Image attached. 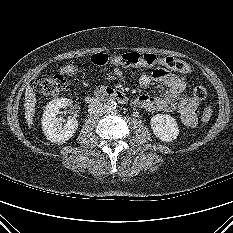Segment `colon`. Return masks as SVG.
I'll return each mask as SVG.
<instances>
[{"mask_svg": "<svg viewBox=\"0 0 233 233\" xmlns=\"http://www.w3.org/2000/svg\"><path fill=\"white\" fill-rule=\"evenodd\" d=\"M91 61L96 66H105L107 64L120 66H161L180 73H189L191 71L190 65L182 60L173 57L160 58L154 54H140L138 52H127L114 57H109L105 53H97L91 57ZM78 73V62L70 60L62 66L58 74L37 78L33 83V87L44 97H56L65 89L66 79L74 78ZM206 96V89L202 86H197L193 91V97L198 101L204 100ZM212 114V108L206 107L202 113V121L204 123L209 122Z\"/></svg>", "mask_w": 233, "mask_h": 233, "instance_id": "colon-1", "label": "colon"}]
</instances>
